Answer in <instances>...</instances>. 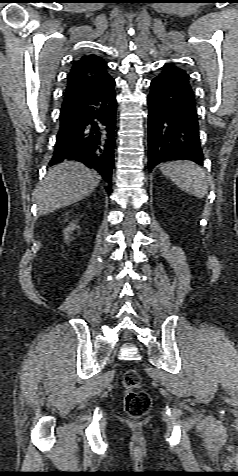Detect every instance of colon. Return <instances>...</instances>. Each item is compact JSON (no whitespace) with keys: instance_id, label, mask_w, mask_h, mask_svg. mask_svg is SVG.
Listing matches in <instances>:
<instances>
[{"instance_id":"1","label":"colon","mask_w":238,"mask_h":476,"mask_svg":"<svg viewBox=\"0 0 238 476\" xmlns=\"http://www.w3.org/2000/svg\"><path fill=\"white\" fill-rule=\"evenodd\" d=\"M140 381V375L136 369H127L123 373L122 384L126 389L124 409L133 418L144 416L151 407L149 394L138 389Z\"/></svg>"}]
</instances>
